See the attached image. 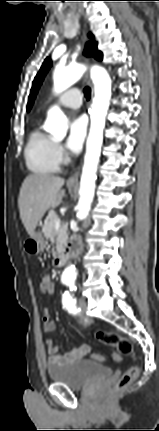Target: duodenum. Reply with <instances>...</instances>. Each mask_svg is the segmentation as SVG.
<instances>
[{"instance_id":"obj_1","label":"duodenum","mask_w":159,"mask_h":431,"mask_svg":"<svg viewBox=\"0 0 159 431\" xmlns=\"http://www.w3.org/2000/svg\"><path fill=\"white\" fill-rule=\"evenodd\" d=\"M80 249L79 243L77 240L71 241L68 246L58 253L53 261V264L55 267H61L63 266L67 260L70 258L72 253L78 252Z\"/></svg>"}]
</instances>
